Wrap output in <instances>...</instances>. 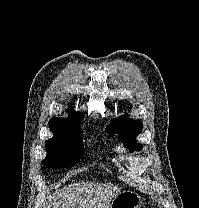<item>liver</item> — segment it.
<instances>
[{
  "instance_id": "6515ba94",
  "label": "liver",
  "mask_w": 199,
  "mask_h": 208,
  "mask_svg": "<svg viewBox=\"0 0 199 208\" xmlns=\"http://www.w3.org/2000/svg\"><path fill=\"white\" fill-rule=\"evenodd\" d=\"M120 193L118 185L95 182L73 183L57 191L53 208H109ZM50 208V207H49Z\"/></svg>"
}]
</instances>
